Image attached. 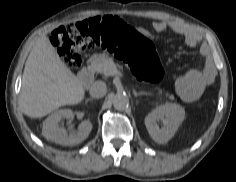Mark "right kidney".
I'll return each instance as SVG.
<instances>
[{
  "instance_id": "1",
  "label": "right kidney",
  "mask_w": 236,
  "mask_h": 182,
  "mask_svg": "<svg viewBox=\"0 0 236 182\" xmlns=\"http://www.w3.org/2000/svg\"><path fill=\"white\" fill-rule=\"evenodd\" d=\"M73 112L71 109H61L50 116L43 123L42 135L49 141L64 146H74L84 141L92 130V123L89 120L81 122L76 133H69L60 126L62 119L71 120Z\"/></svg>"
}]
</instances>
